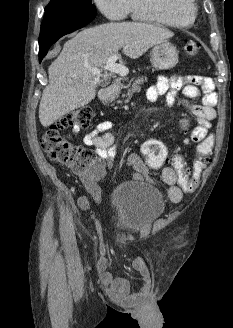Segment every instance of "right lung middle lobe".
Here are the masks:
<instances>
[{
    "instance_id": "1",
    "label": "right lung middle lobe",
    "mask_w": 233,
    "mask_h": 328,
    "mask_svg": "<svg viewBox=\"0 0 233 328\" xmlns=\"http://www.w3.org/2000/svg\"><path fill=\"white\" fill-rule=\"evenodd\" d=\"M46 12H67V13H83L96 12L95 6L91 0H51L45 8Z\"/></svg>"
}]
</instances>
